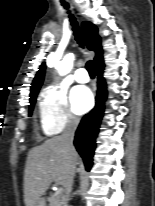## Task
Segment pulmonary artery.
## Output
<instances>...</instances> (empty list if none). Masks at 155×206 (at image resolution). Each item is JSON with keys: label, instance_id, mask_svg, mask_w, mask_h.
<instances>
[{"label": "pulmonary artery", "instance_id": "obj_1", "mask_svg": "<svg viewBox=\"0 0 155 206\" xmlns=\"http://www.w3.org/2000/svg\"><path fill=\"white\" fill-rule=\"evenodd\" d=\"M75 80L79 83H87L89 81V75L85 68H79L74 74Z\"/></svg>", "mask_w": 155, "mask_h": 206}]
</instances>
